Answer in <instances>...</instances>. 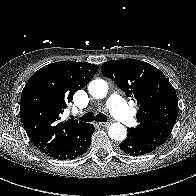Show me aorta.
I'll return each instance as SVG.
<instances>
[{"instance_id":"aorta-1","label":"aorta","mask_w":196,"mask_h":196,"mask_svg":"<svg viewBox=\"0 0 196 196\" xmlns=\"http://www.w3.org/2000/svg\"><path fill=\"white\" fill-rule=\"evenodd\" d=\"M88 90L91 96L97 99L104 98L108 93V85L102 79H96L89 83ZM126 128L120 123L110 125L108 135L115 141H123L126 138Z\"/></svg>"}]
</instances>
